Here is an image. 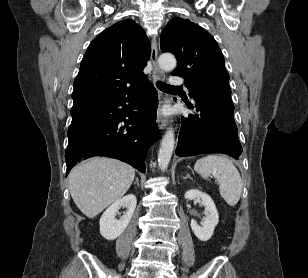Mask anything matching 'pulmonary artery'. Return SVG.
<instances>
[{"label": "pulmonary artery", "instance_id": "1", "mask_svg": "<svg viewBox=\"0 0 308 278\" xmlns=\"http://www.w3.org/2000/svg\"><path fill=\"white\" fill-rule=\"evenodd\" d=\"M183 83H184V81L181 77L173 76V77L170 78V84L171 85L179 86V85H182Z\"/></svg>", "mask_w": 308, "mask_h": 278}]
</instances>
